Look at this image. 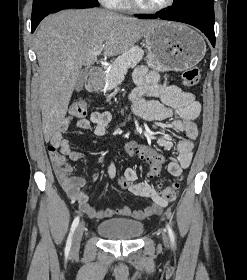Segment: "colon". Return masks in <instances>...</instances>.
<instances>
[{
    "instance_id": "obj_1",
    "label": "colon",
    "mask_w": 247,
    "mask_h": 280,
    "mask_svg": "<svg viewBox=\"0 0 247 280\" xmlns=\"http://www.w3.org/2000/svg\"><path fill=\"white\" fill-rule=\"evenodd\" d=\"M183 83L186 86L192 87L200 81V69L198 67H191L186 69L182 74ZM71 114L76 117H82L87 112V102L84 99L75 100L70 108ZM124 151L130 156H138L141 159L148 161L151 165V176L157 175L161 166L164 163V157L156 153V149L152 148L151 144H143L140 140L133 138L132 141H128L124 145ZM48 152L51 158V162L57 176L69 177L71 176L72 167L66 161L65 157L61 155L57 149L49 146ZM131 176V174H129ZM182 179V175L177 177V181L166 187H160L161 196L167 201H173L176 198L179 181ZM117 183L120 185L121 190H126L132 186V181L126 176H119Z\"/></svg>"
}]
</instances>
